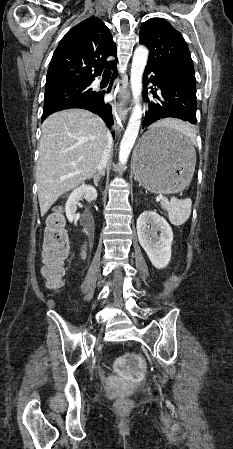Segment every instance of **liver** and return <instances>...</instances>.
<instances>
[{"mask_svg": "<svg viewBox=\"0 0 233 449\" xmlns=\"http://www.w3.org/2000/svg\"><path fill=\"white\" fill-rule=\"evenodd\" d=\"M159 123L183 126L173 119ZM41 130L35 177L43 216L62 194L96 173L109 132L102 119L83 109L54 113L43 122Z\"/></svg>", "mask_w": 233, "mask_h": 449, "instance_id": "1", "label": "liver"}]
</instances>
